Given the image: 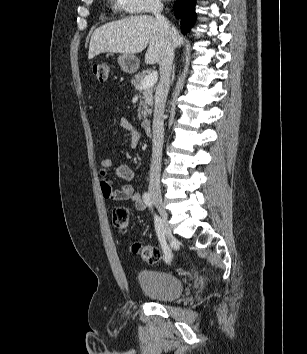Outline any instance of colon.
<instances>
[{"mask_svg": "<svg viewBox=\"0 0 307 354\" xmlns=\"http://www.w3.org/2000/svg\"><path fill=\"white\" fill-rule=\"evenodd\" d=\"M93 73L100 83L107 80L109 74V65L105 62L96 63L93 66ZM113 226L121 233L125 232L129 224V213L127 208L118 206L113 209ZM133 253L139 255L148 263H156L160 259V252L156 247L136 242L132 245Z\"/></svg>", "mask_w": 307, "mask_h": 354, "instance_id": "colon-1", "label": "colon"}]
</instances>
